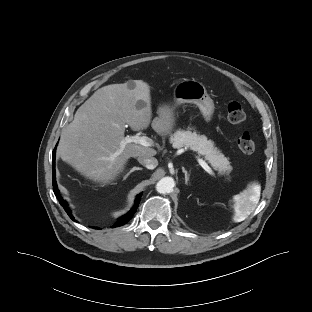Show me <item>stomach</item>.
<instances>
[{"mask_svg":"<svg viewBox=\"0 0 312 312\" xmlns=\"http://www.w3.org/2000/svg\"><path fill=\"white\" fill-rule=\"evenodd\" d=\"M174 101L175 106L184 103L195 104L206 121L209 122L212 119L214 103L201 82L190 79L179 82L174 88Z\"/></svg>","mask_w":312,"mask_h":312,"instance_id":"0dacf381","label":"stomach"}]
</instances>
